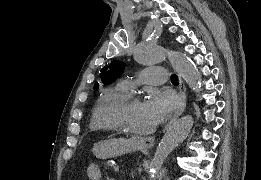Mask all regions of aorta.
I'll return each instance as SVG.
<instances>
[{"label": "aorta", "mask_w": 261, "mask_h": 180, "mask_svg": "<svg viewBox=\"0 0 261 180\" xmlns=\"http://www.w3.org/2000/svg\"><path fill=\"white\" fill-rule=\"evenodd\" d=\"M166 55L190 89L198 93L201 90V76L197 67L185 54L178 51H167L161 46L145 43L140 44L134 51L135 60L143 65L160 63L165 60ZM192 126L193 118L187 115L175 121L166 131L150 164L149 175L152 180L168 155L185 140Z\"/></svg>", "instance_id": "obj_1"}]
</instances>
